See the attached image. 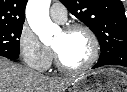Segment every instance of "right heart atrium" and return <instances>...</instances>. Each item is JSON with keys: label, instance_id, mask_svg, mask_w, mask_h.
Segmentation results:
<instances>
[{"label": "right heart atrium", "instance_id": "obj_1", "mask_svg": "<svg viewBox=\"0 0 127 92\" xmlns=\"http://www.w3.org/2000/svg\"><path fill=\"white\" fill-rule=\"evenodd\" d=\"M18 47L26 66L40 71L50 67L53 60L52 49L45 45L28 25L21 29Z\"/></svg>", "mask_w": 127, "mask_h": 92}]
</instances>
